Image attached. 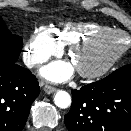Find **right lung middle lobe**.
I'll use <instances>...</instances> for the list:
<instances>
[{"label":"right lung middle lobe","mask_w":131,"mask_h":131,"mask_svg":"<svg viewBox=\"0 0 131 131\" xmlns=\"http://www.w3.org/2000/svg\"><path fill=\"white\" fill-rule=\"evenodd\" d=\"M22 45V38L12 34L0 16V62H16Z\"/></svg>","instance_id":"1"}]
</instances>
